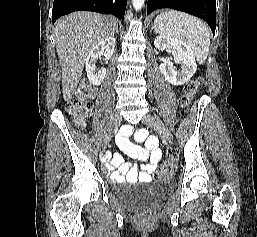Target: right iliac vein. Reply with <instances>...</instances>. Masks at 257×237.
I'll use <instances>...</instances> for the list:
<instances>
[{
    "label": "right iliac vein",
    "mask_w": 257,
    "mask_h": 237,
    "mask_svg": "<svg viewBox=\"0 0 257 237\" xmlns=\"http://www.w3.org/2000/svg\"><path fill=\"white\" fill-rule=\"evenodd\" d=\"M121 115L118 112H115L111 118L110 126L103 140V148L106 149L112 139L114 133L118 130V127L121 124Z\"/></svg>",
    "instance_id": "1"
}]
</instances>
